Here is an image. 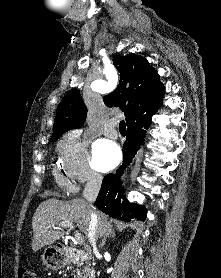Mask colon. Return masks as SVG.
<instances>
[{
	"mask_svg": "<svg viewBox=\"0 0 221 278\" xmlns=\"http://www.w3.org/2000/svg\"><path fill=\"white\" fill-rule=\"evenodd\" d=\"M18 278H38V275L30 268H21L18 271Z\"/></svg>",
	"mask_w": 221,
	"mask_h": 278,
	"instance_id": "1",
	"label": "colon"
}]
</instances>
